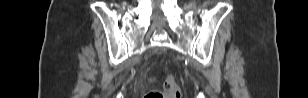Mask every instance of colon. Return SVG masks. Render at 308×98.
Segmentation results:
<instances>
[{
	"label": "colon",
	"instance_id": "colon-1",
	"mask_svg": "<svg viewBox=\"0 0 308 98\" xmlns=\"http://www.w3.org/2000/svg\"><path fill=\"white\" fill-rule=\"evenodd\" d=\"M181 91L174 78L170 75L164 83V91L153 90L148 92L144 98H180Z\"/></svg>",
	"mask_w": 308,
	"mask_h": 98
}]
</instances>
